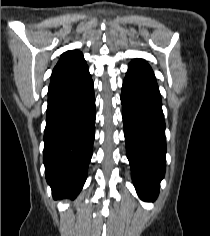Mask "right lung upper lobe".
I'll use <instances>...</instances> for the list:
<instances>
[{"mask_svg":"<svg viewBox=\"0 0 210 236\" xmlns=\"http://www.w3.org/2000/svg\"><path fill=\"white\" fill-rule=\"evenodd\" d=\"M83 63H85V60L80 51H67L61 55L60 60L58 61L52 72V76L73 69Z\"/></svg>","mask_w":210,"mask_h":236,"instance_id":"cb5924a9","label":"right lung upper lobe"}]
</instances>
